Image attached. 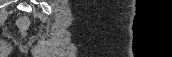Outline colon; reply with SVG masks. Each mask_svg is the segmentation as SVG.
Returning a JSON list of instances; mask_svg holds the SVG:
<instances>
[{
	"label": "colon",
	"instance_id": "5ec220e1",
	"mask_svg": "<svg viewBox=\"0 0 172 57\" xmlns=\"http://www.w3.org/2000/svg\"><path fill=\"white\" fill-rule=\"evenodd\" d=\"M18 26L22 30H26L29 26V21L27 18L23 17L18 21Z\"/></svg>",
	"mask_w": 172,
	"mask_h": 57
}]
</instances>
